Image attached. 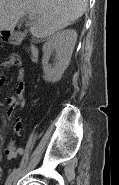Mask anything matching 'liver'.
Wrapping results in <instances>:
<instances>
[{
	"mask_svg": "<svg viewBox=\"0 0 119 185\" xmlns=\"http://www.w3.org/2000/svg\"><path fill=\"white\" fill-rule=\"evenodd\" d=\"M86 8L87 0H0V31L13 32L28 13L35 19L31 34L46 38L78 20Z\"/></svg>",
	"mask_w": 119,
	"mask_h": 185,
	"instance_id": "1",
	"label": "liver"
}]
</instances>
